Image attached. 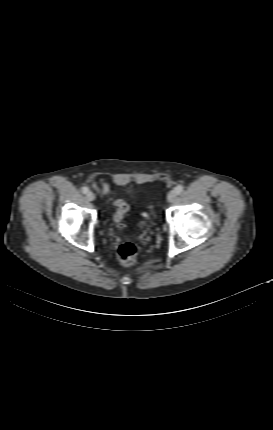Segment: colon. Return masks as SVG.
<instances>
[{
  "mask_svg": "<svg viewBox=\"0 0 273 430\" xmlns=\"http://www.w3.org/2000/svg\"><path fill=\"white\" fill-rule=\"evenodd\" d=\"M114 206L116 208V211L113 218L115 223L120 225L126 212L128 211V205L122 200H117L114 202ZM147 218L148 216L146 215L145 219ZM143 223H145V221ZM117 255L118 259L123 265L132 266L137 261L138 250L135 244L131 242H126L119 246Z\"/></svg>",
  "mask_w": 273,
  "mask_h": 430,
  "instance_id": "1",
  "label": "colon"
}]
</instances>
